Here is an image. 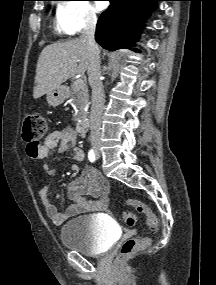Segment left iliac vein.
I'll return each mask as SVG.
<instances>
[{
  "instance_id": "obj_1",
  "label": "left iliac vein",
  "mask_w": 216,
  "mask_h": 285,
  "mask_svg": "<svg viewBox=\"0 0 216 285\" xmlns=\"http://www.w3.org/2000/svg\"><path fill=\"white\" fill-rule=\"evenodd\" d=\"M97 158H99V154L97 153Z\"/></svg>"
}]
</instances>
